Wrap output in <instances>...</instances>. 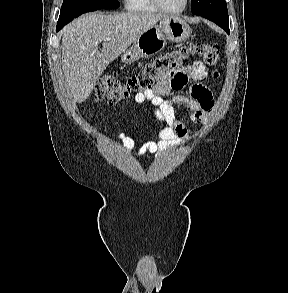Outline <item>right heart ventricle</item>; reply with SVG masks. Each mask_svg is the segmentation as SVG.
Returning a JSON list of instances; mask_svg holds the SVG:
<instances>
[{"label":"right heart ventricle","mask_w":288,"mask_h":293,"mask_svg":"<svg viewBox=\"0 0 288 293\" xmlns=\"http://www.w3.org/2000/svg\"><path fill=\"white\" fill-rule=\"evenodd\" d=\"M125 7L130 12L154 13L158 9L152 0H125Z\"/></svg>","instance_id":"1"}]
</instances>
